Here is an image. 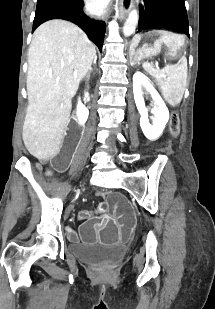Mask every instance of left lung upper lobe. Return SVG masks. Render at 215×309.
Masks as SVG:
<instances>
[{
  "label": "left lung upper lobe",
  "instance_id": "left-lung-upper-lobe-1",
  "mask_svg": "<svg viewBox=\"0 0 215 309\" xmlns=\"http://www.w3.org/2000/svg\"><path fill=\"white\" fill-rule=\"evenodd\" d=\"M139 14L138 31L165 28L189 36L184 0H144V5L139 7Z\"/></svg>",
  "mask_w": 215,
  "mask_h": 309
}]
</instances>
